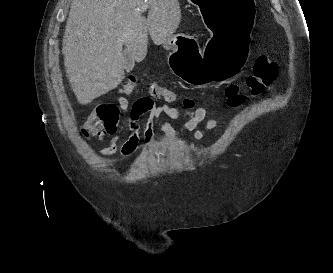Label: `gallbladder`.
Segmentation results:
<instances>
[{"mask_svg": "<svg viewBox=\"0 0 333 273\" xmlns=\"http://www.w3.org/2000/svg\"><path fill=\"white\" fill-rule=\"evenodd\" d=\"M123 58H124V69L127 71L132 70L134 68L135 61L132 58V55L128 49H125L123 51Z\"/></svg>", "mask_w": 333, "mask_h": 273, "instance_id": "1", "label": "gallbladder"}]
</instances>
